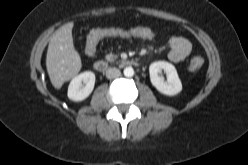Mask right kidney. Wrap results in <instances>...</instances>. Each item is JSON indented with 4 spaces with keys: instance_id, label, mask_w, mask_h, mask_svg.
<instances>
[{
    "instance_id": "obj_1",
    "label": "right kidney",
    "mask_w": 248,
    "mask_h": 165,
    "mask_svg": "<svg viewBox=\"0 0 248 165\" xmlns=\"http://www.w3.org/2000/svg\"><path fill=\"white\" fill-rule=\"evenodd\" d=\"M83 83L85 86H83ZM95 85V74L85 71L75 76L68 87V98L72 101H82L93 91Z\"/></svg>"
}]
</instances>
